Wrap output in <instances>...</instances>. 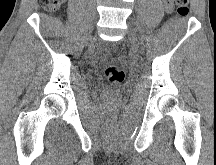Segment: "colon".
Returning <instances> with one entry per match:
<instances>
[{"label":"colon","mask_w":216,"mask_h":165,"mask_svg":"<svg viewBox=\"0 0 216 165\" xmlns=\"http://www.w3.org/2000/svg\"><path fill=\"white\" fill-rule=\"evenodd\" d=\"M42 7L54 12L59 9L63 0H40ZM176 11L180 17H185L189 12V0H175ZM103 73L111 83H121L125 78V73L122 68L112 63L103 64Z\"/></svg>","instance_id":"1"}]
</instances>
